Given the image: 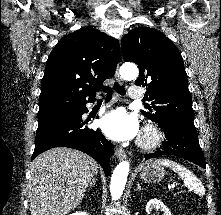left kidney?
Instances as JSON below:
<instances>
[{"label": "left kidney", "instance_id": "obj_1", "mask_svg": "<svg viewBox=\"0 0 221 215\" xmlns=\"http://www.w3.org/2000/svg\"><path fill=\"white\" fill-rule=\"evenodd\" d=\"M153 209L161 210L163 215H171L170 210L158 199H151L146 205V212L149 214Z\"/></svg>", "mask_w": 221, "mask_h": 215}]
</instances>
